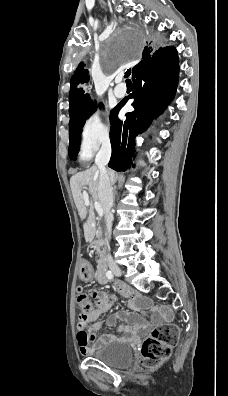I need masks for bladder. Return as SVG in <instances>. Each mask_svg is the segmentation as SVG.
<instances>
[{
    "label": "bladder",
    "mask_w": 228,
    "mask_h": 396,
    "mask_svg": "<svg viewBox=\"0 0 228 396\" xmlns=\"http://www.w3.org/2000/svg\"><path fill=\"white\" fill-rule=\"evenodd\" d=\"M89 355L112 367H127L134 359L131 345L125 341H113L92 349Z\"/></svg>",
    "instance_id": "obj_1"
}]
</instances>
